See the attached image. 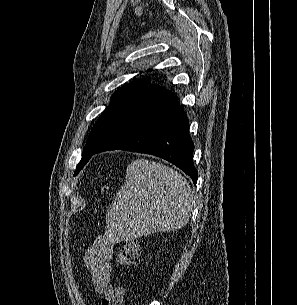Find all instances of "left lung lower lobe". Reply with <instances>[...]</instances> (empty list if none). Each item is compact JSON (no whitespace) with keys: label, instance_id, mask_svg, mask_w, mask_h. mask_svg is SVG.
Returning a JSON list of instances; mask_svg holds the SVG:
<instances>
[{"label":"left lung lower lobe","instance_id":"1","mask_svg":"<svg viewBox=\"0 0 297 305\" xmlns=\"http://www.w3.org/2000/svg\"><path fill=\"white\" fill-rule=\"evenodd\" d=\"M117 149L163 158L197 182L187 115L178 97L158 85L147 86L128 104L93 155Z\"/></svg>","mask_w":297,"mask_h":305}]
</instances>
